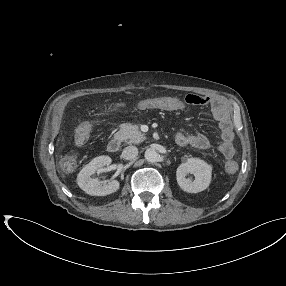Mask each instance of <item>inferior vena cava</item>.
Returning <instances> with one entry per match:
<instances>
[{
	"mask_svg": "<svg viewBox=\"0 0 286 286\" xmlns=\"http://www.w3.org/2000/svg\"><path fill=\"white\" fill-rule=\"evenodd\" d=\"M138 155V148L135 146H128L122 152V157L125 160H132Z\"/></svg>",
	"mask_w": 286,
	"mask_h": 286,
	"instance_id": "1",
	"label": "inferior vena cava"
}]
</instances>
